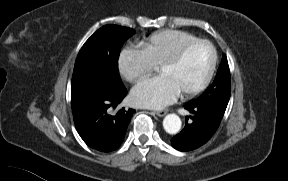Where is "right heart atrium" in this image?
<instances>
[{"label":"right heart atrium","mask_w":288,"mask_h":181,"mask_svg":"<svg viewBox=\"0 0 288 181\" xmlns=\"http://www.w3.org/2000/svg\"><path fill=\"white\" fill-rule=\"evenodd\" d=\"M121 75L129 82H138L149 76L154 70L145 52L138 46L124 47L118 57Z\"/></svg>","instance_id":"obj_1"}]
</instances>
